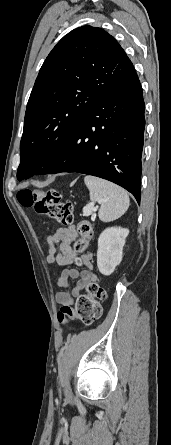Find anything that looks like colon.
Masks as SVG:
<instances>
[{
  "mask_svg": "<svg viewBox=\"0 0 171 445\" xmlns=\"http://www.w3.org/2000/svg\"><path fill=\"white\" fill-rule=\"evenodd\" d=\"M19 203L33 211L39 217H49L66 226L75 228V253L87 249L93 236V225L89 220L81 219L74 224L73 206L70 201H64L62 194L57 190L46 192L32 189H22L18 193ZM107 298L103 287L95 282L87 285V292L81 295L75 307L63 306L58 312V321L62 324L69 319H78L85 325H92L102 316L101 303Z\"/></svg>",
  "mask_w": 171,
  "mask_h": 445,
  "instance_id": "colon-1",
  "label": "colon"
}]
</instances>
